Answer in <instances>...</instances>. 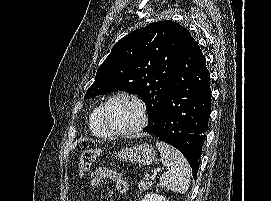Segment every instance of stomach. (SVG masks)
<instances>
[{
	"label": "stomach",
	"instance_id": "obj_1",
	"mask_svg": "<svg viewBox=\"0 0 271 201\" xmlns=\"http://www.w3.org/2000/svg\"><path fill=\"white\" fill-rule=\"evenodd\" d=\"M117 159L139 165H150L155 161L156 151L147 144H140L133 147L122 148L115 153Z\"/></svg>",
	"mask_w": 271,
	"mask_h": 201
}]
</instances>
